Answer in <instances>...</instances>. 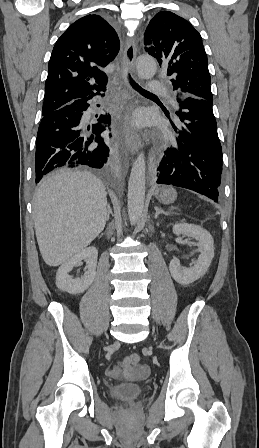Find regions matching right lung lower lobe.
Here are the masks:
<instances>
[{"label": "right lung lower lobe", "mask_w": 259, "mask_h": 448, "mask_svg": "<svg viewBox=\"0 0 259 448\" xmlns=\"http://www.w3.org/2000/svg\"><path fill=\"white\" fill-rule=\"evenodd\" d=\"M92 98L43 114L36 138V183L62 166L107 165L112 155L113 136L106 134L111 116L107 113L95 116L97 122L88 125L91 118L87 110Z\"/></svg>", "instance_id": "right-lung-lower-lobe-1"}]
</instances>
